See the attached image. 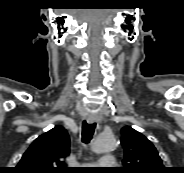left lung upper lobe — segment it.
Listing matches in <instances>:
<instances>
[{
    "mask_svg": "<svg viewBox=\"0 0 184 173\" xmlns=\"http://www.w3.org/2000/svg\"><path fill=\"white\" fill-rule=\"evenodd\" d=\"M124 148V167L120 173H165L166 168L154 145L130 126L121 130Z\"/></svg>",
    "mask_w": 184,
    "mask_h": 173,
    "instance_id": "5c2ea615",
    "label": "left lung upper lobe"
}]
</instances>
